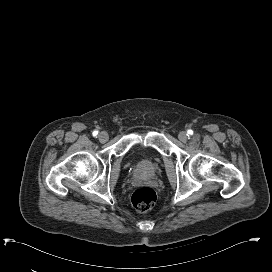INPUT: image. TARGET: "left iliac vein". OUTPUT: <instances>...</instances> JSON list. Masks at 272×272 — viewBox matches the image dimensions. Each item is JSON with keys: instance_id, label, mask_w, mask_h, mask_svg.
<instances>
[{"instance_id": "left-iliac-vein-1", "label": "left iliac vein", "mask_w": 272, "mask_h": 272, "mask_svg": "<svg viewBox=\"0 0 272 272\" xmlns=\"http://www.w3.org/2000/svg\"><path fill=\"white\" fill-rule=\"evenodd\" d=\"M178 138L181 142H186L188 140V134L185 131H181L178 134Z\"/></svg>"}]
</instances>
